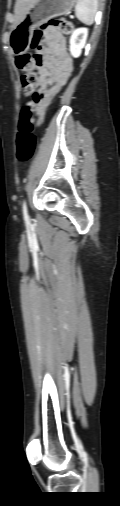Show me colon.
Returning <instances> with one entry per match:
<instances>
[{"mask_svg":"<svg viewBox=\"0 0 120 506\" xmlns=\"http://www.w3.org/2000/svg\"><path fill=\"white\" fill-rule=\"evenodd\" d=\"M50 29L69 34L73 26L69 20L62 17L49 19L42 28L34 31L31 41L32 48H38L41 45L42 38L45 36L46 31ZM37 63V58L28 53L16 57V66L23 72L21 83L26 95L21 110L19 132L16 140V158L20 162L29 161L33 157L37 145V137L34 133V110L41 100V96L36 90L39 84V76L35 72Z\"/></svg>","mask_w":120,"mask_h":506,"instance_id":"5ec220e1","label":"colon"}]
</instances>
